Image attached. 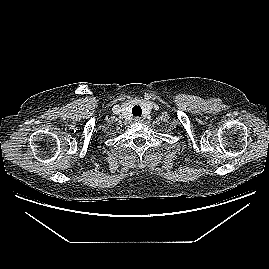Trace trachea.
I'll use <instances>...</instances> for the list:
<instances>
[{
    "label": "trachea",
    "mask_w": 269,
    "mask_h": 269,
    "mask_svg": "<svg viewBox=\"0 0 269 269\" xmlns=\"http://www.w3.org/2000/svg\"><path fill=\"white\" fill-rule=\"evenodd\" d=\"M132 114L134 116H141L142 115V109L139 105H135L133 108H132Z\"/></svg>",
    "instance_id": "trachea-1"
}]
</instances>
